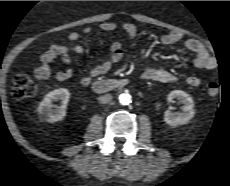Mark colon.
<instances>
[{
    "label": "colon",
    "instance_id": "1",
    "mask_svg": "<svg viewBox=\"0 0 230 186\" xmlns=\"http://www.w3.org/2000/svg\"><path fill=\"white\" fill-rule=\"evenodd\" d=\"M38 85L28 76L20 74L14 78L12 93L16 99L30 98L37 94ZM208 96L214 97L219 93V85L210 82L206 86Z\"/></svg>",
    "mask_w": 230,
    "mask_h": 186
}]
</instances>
